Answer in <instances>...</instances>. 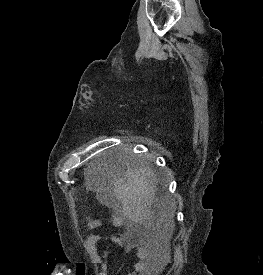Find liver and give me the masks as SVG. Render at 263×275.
Returning a JSON list of instances; mask_svg holds the SVG:
<instances>
[{
    "mask_svg": "<svg viewBox=\"0 0 263 275\" xmlns=\"http://www.w3.org/2000/svg\"><path fill=\"white\" fill-rule=\"evenodd\" d=\"M157 183V176L149 167L128 168L112 175V190L110 196L106 195L115 210L132 223L150 226L157 214L160 221L173 228L175 204L157 196Z\"/></svg>",
    "mask_w": 263,
    "mask_h": 275,
    "instance_id": "6515ba94",
    "label": "liver"
}]
</instances>
